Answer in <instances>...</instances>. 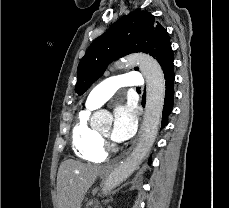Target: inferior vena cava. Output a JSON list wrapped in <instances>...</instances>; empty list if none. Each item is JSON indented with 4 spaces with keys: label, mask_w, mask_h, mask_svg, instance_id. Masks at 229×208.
I'll use <instances>...</instances> for the list:
<instances>
[{
    "label": "inferior vena cava",
    "mask_w": 229,
    "mask_h": 208,
    "mask_svg": "<svg viewBox=\"0 0 229 208\" xmlns=\"http://www.w3.org/2000/svg\"><path fill=\"white\" fill-rule=\"evenodd\" d=\"M144 130H145V132H146V130H147V132L149 130V126H145V116H144Z\"/></svg>",
    "instance_id": "inferior-vena-cava-1"
}]
</instances>
